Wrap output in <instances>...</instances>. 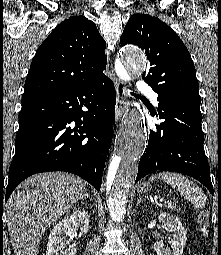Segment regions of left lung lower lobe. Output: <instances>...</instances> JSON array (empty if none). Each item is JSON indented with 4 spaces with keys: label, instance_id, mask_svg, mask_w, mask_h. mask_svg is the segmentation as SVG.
<instances>
[{
    "label": "left lung lower lobe",
    "instance_id": "left-lung-lower-lobe-1",
    "mask_svg": "<svg viewBox=\"0 0 221 255\" xmlns=\"http://www.w3.org/2000/svg\"><path fill=\"white\" fill-rule=\"evenodd\" d=\"M158 114L164 121L154 131L150 130L135 182L157 170L173 171L197 179L213 194L203 149L201 112L172 102H159Z\"/></svg>",
    "mask_w": 221,
    "mask_h": 255
}]
</instances>
